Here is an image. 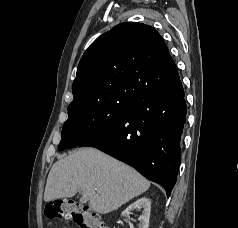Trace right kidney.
Wrapping results in <instances>:
<instances>
[{"instance_id":"obj_1","label":"right kidney","mask_w":238,"mask_h":228,"mask_svg":"<svg viewBox=\"0 0 238 228\" xmlns=\"http://www.w3.org/2000/svg\"><path fill=\"white\" fill-rule=\"evenodd\" d=\"M132 210H141L142 214L139 217V224L138 228H148L149 226V218H150V211H151V201L146 198L142 197L129 205L125 211L122 212V216L126 218H130L129 214ZM130 228H134L133 225L130 223Z\"/></svg>"}]
</instances>
